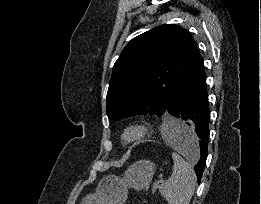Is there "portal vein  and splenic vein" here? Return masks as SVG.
<instances>
[{
  "instance_id": "18ae733b",
  "label": "portal vein and splenic vein",
  "mask_w": 261,
  "mask_h": 204,
  "mask_svg": "<svg viewBox=\"0 0 261 204\" xmlns=\"http://www.w3.org/2000/svg\"><path fill=\"white\" fill-rule=\"evenodd\" d=\"M160 182H163V180H160V181L154 183V185L152 187V194H154L156 192Z\"/></svg>"
}]
</instances>
